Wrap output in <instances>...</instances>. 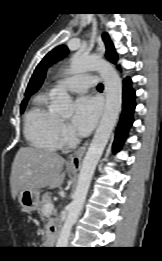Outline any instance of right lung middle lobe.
Listing matches in <instances>:
<instances>
[{
    "mask_svg": "<svg viewBox=\"0 0 162 261\" xmlns=\"http://www.w3.org/2000/svg\"><path fill=\"white\" fill-rule=\"evenodd\" d=\"M26 103H27V100L22 102V104H21V113L24 112V109L26 107Z\"/></svg>",
    "mask_w": 162,
    "mask_h": 261,
    "instance_id": "right-lung-middle-lobe-1",
    "label": "right lung middle lobe"
}]
</instances>
